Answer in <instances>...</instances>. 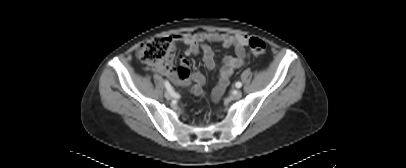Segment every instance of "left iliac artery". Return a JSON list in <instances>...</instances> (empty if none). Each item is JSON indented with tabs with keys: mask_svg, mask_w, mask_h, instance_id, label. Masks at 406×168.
Listing matches in <instances>:
<instances>
[{
	"mask_svg": "<svg viewBox=\"0 0 406 168\" xmlns=\"http://www.w3.org/2000/svg\"><path fill=\"white\" fill-rule=\"evenodd\" d=\"M235 86H236L237 88H241L242 83H241V82H236Z\"/></svg>",
	"mask_w": 406,
	"mask_h": 168,
	"instance_id": "obj_1",
	"label": "left iliac artery"
}]
</instances>
